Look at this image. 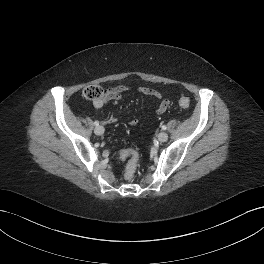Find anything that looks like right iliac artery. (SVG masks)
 <instances>
[{"label": "right iliac artery", "instance_id": "1", "mask_svg": "<svg viewBox=\"0 0 264 264\" xmlns=\"http://www.w3.org/2000/svg\"><path fill=\"white\" fill-rule=\"evenodd\" d=\"M94 125H95V126H99V122H98V121H95V122H94Z\"/></svg>", "mask_w": 264, "mask_h": 264}]
</instances>
